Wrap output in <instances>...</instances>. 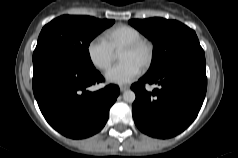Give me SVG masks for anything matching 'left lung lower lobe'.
Masks as SVG:
<instances>
[{"label": "left lung lower lobe", "instance_id": "1", "mask_svg": "<svg viewBox=\"0 0 238 158\" xmlns=\"http://www.w3.org/2000/svg\"><path fill=\"white\" fill-rule=\"evenodd\" d=\"M147 83L158 84L161 89L148 92ZM131 89L136 94L132 113L139 130L152 137H173L194 121L204 101L205 56H189L153 76L144 75Z\"/></svg>", "mask_w": 238, "mask_h": 158}]
</instances>
